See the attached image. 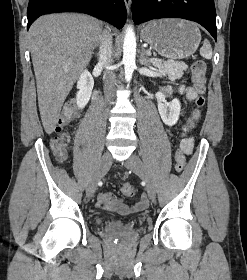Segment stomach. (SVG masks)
I'll list each match as a JSON object with an SVG mask.
<instances>
[{"label": "stomach", "instance_id": "obj_1", "mask_svg": "<svg viewBox=\"0 0 247 280\" xmlns=\"http://www.w3.org/2000/svg\"><path fill=\"white\" fill-rule=\"evenodd\" d=\"M141 37L161 56L172 60L193 55L201 41L195 23L174 18L148 22L141 30Z\"/></svg>", "mask_w": 247, "mask_h": 280}]
</instances>
